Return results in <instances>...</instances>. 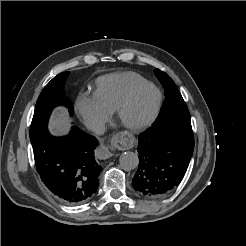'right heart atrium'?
Segmentation results:
<instances>
[{"label":"right heart atrium","mask_w":246,"mask_h":246,"mask_svg":"<svg viewBox=\"0 0 246 246\" xmlns=\"http://www.w3.org/2000/svg\"><path fill=\"white\" fill-rule=\"evenodd\" d=\"M75 109L82 122L96 132L102 130L110 117V111L91 94H81L75 102Z\"/></svg>","instance_id":"right-heart-atrium-1"}]
</instances>
